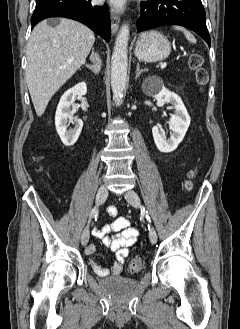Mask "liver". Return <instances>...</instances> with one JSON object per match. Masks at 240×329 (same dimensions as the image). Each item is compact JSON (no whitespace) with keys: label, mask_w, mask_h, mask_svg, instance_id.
Returning a JSON list of instances; mask_svg holds the SVG:
<instances>
[{"label":"liver","mask_w":240,"mask_h":329,"mask_svg":"<svg viewBox=\"0 0 240 329\" xmlns=\"http://www.w3.org/2000/svg\"><path fill=\"white\" fill-rule=\"evenodd\" d=\"M95 42L94 33L73 20L60 19L51 27L42 21L27 44L26 82L40 117L52 96L85 63Z\"/></svg>","instance_id":"6515ba94"}]
</instances>
